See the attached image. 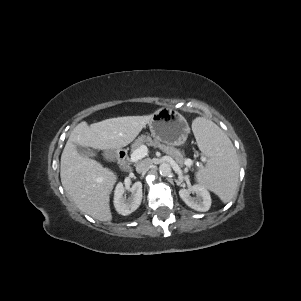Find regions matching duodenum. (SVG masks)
Wrapping results in <instances>:
<instances>
[{"label": "duodenum", "mask_w": 301, "mask_h": 301, "mask_svg": "<svg viewBox=\"0 0 301 301\" xmlns=\"http://www.w3.org/2000/svg\"><path fill=\"white\" fill-rule=\"evenodd\" d=\"M117 158H118V161H119V164H120L121 168L125 171H130L131 165H130V162H129V159H128L127 152L124 151V150L119 151L118 155H117Z\"/></svg>", "instance_id": "duodenum-1"}]
</instances>
